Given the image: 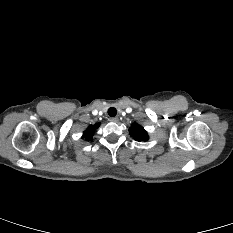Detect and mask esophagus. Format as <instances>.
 Here are the masks:
<instances>
[{
  "label": "esophagus",
  "instance_id": "34e87169",
  "mask_svg": "<svg viewBox=\"0 0 233 233\" xmlns=\"http://www.w3.org/2000/svg\"><path fill=\"white\" fill-rule=\"evenodd\" d=\"M109 120L115 123L119 121L118 117H111Z\"/></svg>",
  "mask_w": 233,
  "mask_h": 233
}]
</instances>
